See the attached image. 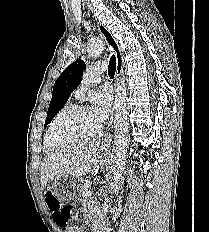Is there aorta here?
Listing matches in <instances>:
<instances>
[{"mask_svg": "<svg viewBox=\"0 0 209 232\" xmlns=\"http://www.w3.org/2000/svg\"><path fill=\"white\" fill-rule=\"evenodd\" d=\"M103 48V42L99 38H93L88 43L87 51L90 56L98 57L102 53ZM126 100V84L124 80H121L115 85L114 156L112 158V182L110 184L112 193L119 187L130 139Z\"/></svg>", "mask_w": 209, "mask_h": 232, "instance_id": "obj_1", "label": "aorta"}]
</instances>
